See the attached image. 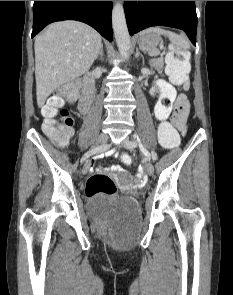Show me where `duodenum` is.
Returning <instances> with one entry per match:
<instances>
[{
  "label": "duodenum",
  "instance_id": "obj_1",
  "mask_svg": "<svg viewBox=\"0 0 233 295\" xmlns=\"http://www.w3.org/2000/svg\"><path fill=\"white\" fill-rule=\"evenodd\" d=\"M94 78L92 74H89L86 77V87L82 93V96L79 101V109L83 113H87L94 101L95 90L93 87Z\"/></svg>",
  "mask_w": 233,
  "mask_h": 295
}]
</instances>
